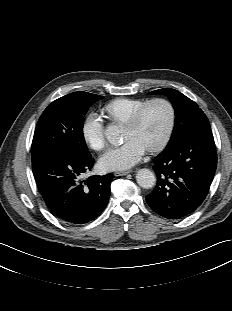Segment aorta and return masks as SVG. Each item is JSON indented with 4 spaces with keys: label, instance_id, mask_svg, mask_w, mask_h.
<instances>
[{
    "label": "aorta",
    "instance_id": "obj_1",
    "mask_svg": "<svg viewBox=\"0 0 232 311\" xmlns=\"http://www.w3.org/2000/svg\"><path fill=\"white\" fill-rule=\"evenodd\" d=\"M107 140L113 144L118 145L120 143V134L116 125H110L105 130ZM136 180L140 187L144 189H150L156 184L155 174L146 168L140 169L136 174Z\"/></svg>",
    "mask_w": 232,
    "mask_h": 311
}]
</instances>
